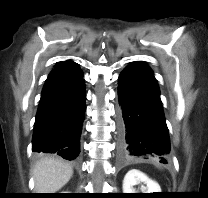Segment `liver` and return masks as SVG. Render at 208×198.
<instances>
[{
    "mask_svg": "<svg viewBox=\"0 0 208 198\" xmlns=\"http://www.w3.org/2000/svg\"><path fill=\"white\" fill-rule=\"evenodd\" d=\"M72 166L59 159L44 158L33 168L35 190L38 193H55L72 177Z\"/></svg>",
    "mask_w": 208,
    "mask_h": 198,
    "instance_id": "1",
    "label": "liver"
}]
</instances>
